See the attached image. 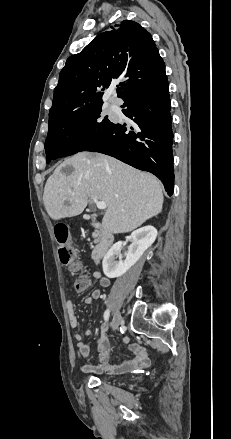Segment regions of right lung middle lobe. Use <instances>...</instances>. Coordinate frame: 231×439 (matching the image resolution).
I'll return each mask as SVG.
<instances>
[{"instance_id":"dd1d6c3e","label":"right lung middle lobe","mask_w":231,"mask_h":439,"mask_svg":"<svg viewBox=\"0 0 231 439\" xmlns=\"http://www.w3.org/2000/svg\"><path fill=\"white\" fill-rule=\"evenodd\" d=\"M102 105L49 121L45 142L46 163L87 150L103 137L114 123L104 116Z\"/></svg>"}]
</instances>
